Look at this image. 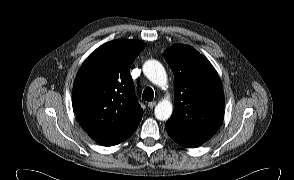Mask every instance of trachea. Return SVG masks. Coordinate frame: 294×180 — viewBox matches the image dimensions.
<instances>
[{
    "instance_id": "obj_1",
    "label": "trachea",
    "mask_w": 294,
    "mask_h": 180,
    "mask_svg": "<svg viewBox=\"0 0 294 180\" xmlns=\"http://www.w3.org/2000/svg\"><path fill=\"white\" fill-rule=\"evenodd\" d=\"M154 98V91L150 87H146L143 91L142 99L145 101H152Z\"/></svg>"
}]
</instances>
